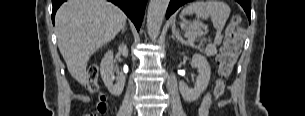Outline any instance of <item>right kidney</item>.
<instances>
[{
	"mask_svg": "<svg viewBox=\"0 0 305 116\" xmlns=\"http://www.w3.org/2000/svg\"><path fill=\"white\" fill-rule=\"evenodd\" d=\"M118 51L124 57L128 56V48L122 43L118 47ZM114 64H113V52L108 51L104 57L102 58L100 64V73L102 80L109 90V92L114 96L121 95L124 84H125V76L123 73L118 72L117 77L114 76ZM116 79V83L113 84V81Z\"/></svg>",
	"mask_w": 305,
	"mask_h": 116,
	"instance_id": "obj_1",
	"label": "right kidney"
}]
</instances>
